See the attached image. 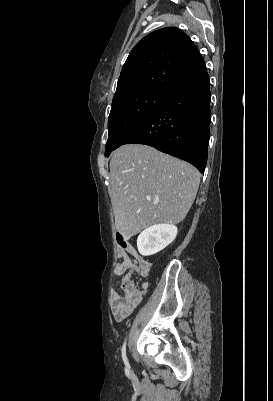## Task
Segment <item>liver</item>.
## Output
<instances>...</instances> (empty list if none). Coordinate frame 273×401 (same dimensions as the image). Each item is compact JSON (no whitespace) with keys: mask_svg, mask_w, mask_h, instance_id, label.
<instances>
[{"mask_svg":"<svg viewBox=\"0 0 273 401\" xmlns=\"http://www.w3.org/2000/svg\"><path fill=\"white\" fill-rule=\"evenodd\" d=\"M200 182L195 166L147 144H122L110 160L111 203L125 239L157 223H181Z\"/></svg>","mask_w":273,"mask_h":401,"instance_id":"obj_1","label":"liver"}]
</instances>
